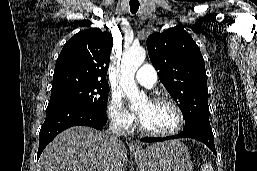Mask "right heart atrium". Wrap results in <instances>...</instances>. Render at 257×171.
Returning a JSON list of instances; mask_svg holds the SVG:
<instances>
[{
    "label": "right heart atrium",
    "mask_w": 257,
    "mask_h": 171,
    "mask_svg": "<svg viewBox=\"0 0 257 171\" xmlns=\"http://www.w3.org/2000/svg\"><path fill=\"white\" fill-rule=\"evenodd\" d=\"M110 121L123 131L130 130L135 122V116L123 104L118 94H112L107 105Z\"/></svg>",
    "instance_id": "obj_1"
}]
</instances>
